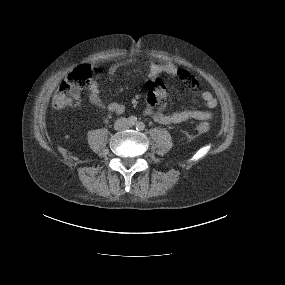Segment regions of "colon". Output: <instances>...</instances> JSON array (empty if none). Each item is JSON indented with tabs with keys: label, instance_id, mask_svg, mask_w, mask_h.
<instances>
[{
	"label": "colon",
	"instance_id": "obj_1",
	"mask_svg": "<svg viewBox=\"0 0 285 285\" xmlns=\"http://www.w3.org/2000/svg\"><path fill=\"white\" fill-rule=\"evenodd\" d=\"M92 68L88 64H81L73 69L65 81L56 90L52 98V106L55 109L76 107L80 104L82 94L89 88ZM186 79H191L189 73L184 72ZM193 133L203 134L208 131V124L200 123L193 128Z\"/></svg>",
	"mask_w": 285,
	"mask_h": 285
}]
</instances>
